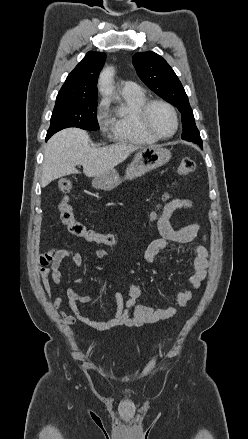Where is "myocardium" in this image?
<instances>
[{"label": "myocardium", "mask_w": 248, "mask_h": 439, "mask_svg": "<svg viewBox=\"0 0 248 439\" xmlns=\"http://www.w3.org/2000/svg\"><path fill=\"white\" fill-rule=\"evenodd\" d=\"M163 105L165 106L172 114L173 119H174V129L173 131L168 134V135H161L159 133H157L151 126L150 121H149V112L152 106L154 105ZM139 120L141 125L143 126V128L145 129V131L147 133H149L151 136H153L154 138L158 139V140H162V139H169L172 136L175 135V133L178 130L179 127V119H178V114L177 111L175 109V107L169 103L166 100L163 99H148L140 108L139 110Z\"/></svg>", "instance_id": "obj_1"}]
</instances>
